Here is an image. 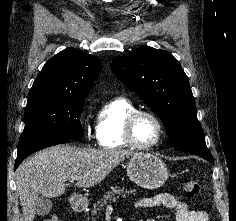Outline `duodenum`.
<instances>
[{"label": "duodenum", "instance_id": "410a0bca", "mask_svg": "<svg viewBox=\"0 0 236 221\" xmlns=\"http://www.w3.org/2000/svg\"><path fill=\"white\" fill-rule=\"evenodd\" d=\"M73 209L76 212H82V211H84V205L79 203V202H75L74 205H73Z\"/></svg>", "mask_w": 236, "mask_h": 221}]
</instances>
